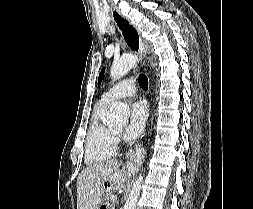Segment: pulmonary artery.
Here are the masks:
<instances>
[{"mask_svg":"<svg viewBox=\"0 0 253 209\" xmlns=\"http://www.w3.org/2000/svg\"><path fill=\"white\" fill-rule=\"evenodd\" d=\"M135 93V83L133 79H125L112 86L103 93L101 101L111 103L114 100L131 96Z\"/></svg>","mask_w":253,"mask_h":209,"instance_id":"obj_1","label":"pulmonary artery"}]
</instances>
